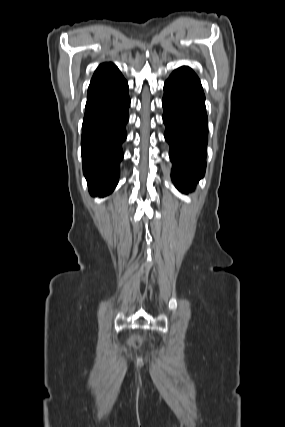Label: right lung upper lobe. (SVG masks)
<instances>
[{
    "instance_id": "cb5924a9",
    "label": "right lung upper lobe",
    "mask_w": 285,
    "mask_h": 427,
    "mask_svg": "<svg viewBox=\"0 0 285 427\" xmlns=\"http://www.w3.org/2000/svg\"><path fill=\"white\" fill-rule=\"evenodd\" d=\"M114 68H116V66L113 63H103L97 68L93 77H97V76H100L102 74L108 73L111 70H113Z\"/></svg>"
}]
</instances>
